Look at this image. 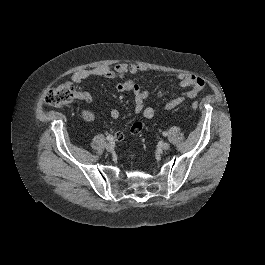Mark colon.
Here are the masks:
<instances>
[{
  "label": "colon",
  "mask_w": 265,
  "mask_h": 265,
  "mask_svg": "<svg viewBox=\"0 0 265 265\" xmlns=\"http://www.w3.org/2000/svg\"><path fill=\"white\" fill-rule=\"evenodd\" d=\"M78 97L79 92L76 87L72 83H65L47 91L44 96V101L49 106L62 108L73 102ZM191 108L196 110L198 108V103L193 102L191 104ZM85 118L91 120L93 118V114L91 112H86Z\"/></svg>",
  "instance_id": "1"
}]
</instances>
